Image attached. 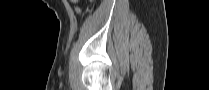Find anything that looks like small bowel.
<instances>
[{"mask_svg":"<svg viewBox=\"0 0 209 90\" xmlns=\"http://www.w3.org/2000/svg\"><path fill=\"white\" fill-rule=\"evenodd\" d=\"M76 12L80 13V9L79 8H75Z\"/></svg>","mask_w":209,"mask_h":90,"instance_id":"obj_1","label":"small bowel"}]
</instances>
